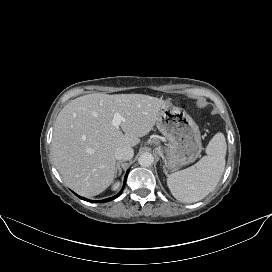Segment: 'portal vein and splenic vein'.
I'll list each match as a JSON object with an SVG mask.
<instances>
[{
  "mask_svg": "<svg viewBox=\"0 0 272 272\" xmlns=\"http://www.w3.org/2000/svg\"><path fill=\"white\" fill-rule=\"evenodd\" d=\"M124 121H125V119L119 113L114 114V118H113L112 123L116 128H119L121 123Z\"/></svg>",
  "mask_w": 272,
  "mask_h": 272,
  "instance_id": "portal-vein-and-splenic-vein-1",
  "label": "portal vein and splenic vein"
}]
</instances>
